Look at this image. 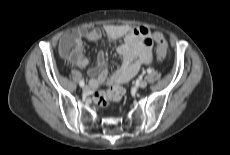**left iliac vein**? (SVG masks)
Returning <instances> with one entry per match:
<instances>
[{
  "label": "left iliac vein",
  "instance_id": "4c4485c4",
  "mask_svg": "<svg viewBox=\"0 0 230 155\" xmlns=\"http://www.w3.org/2000/svg\"><path fill=\"white\" fill-rule=\"evenodd\" d=\"M138 86H139L140 88H145V87L147 86V81H146V80H140V81L138 82Z\"/></svg>",
  "mask_w": 230,
  "mask_h": 155
}]
</instances>
